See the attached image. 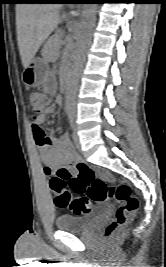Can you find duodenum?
Segmentation results:
<instances>
[{"label":"duodenum","instance_id":"duodenum-1","mask_svg":"<svg viewBox=\"0 0 166 267\" xmlns=\"http://www.w3.org/2000/svg\"><path fill=\"white\" fill-rule=\"evenodd\" d=\"M69 83H70V75H69V74H66V75L64 76V78H63V84H64V87H65V88L68 87Z\"/></svg>","mask_w":166,"mask_h":267}]
</instances>
